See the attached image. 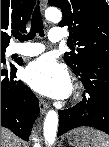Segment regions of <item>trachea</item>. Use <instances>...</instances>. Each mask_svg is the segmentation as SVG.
I'll return each instance as SVG.
<instances>
[{"label": "trachea", "instance_id": "trachea-1", "mask_svg": "<svg viewBox=\"0 0 109 147\" xmlns=\"http://www.w3.org/2000/svg\"><path fill=\"white\" fill-rule=\"evenodd\" d=\"M37 32L41 37H44V26L40 13L39 2L33 11L32 19H31V30L28 33V35L22 36L20 34H16L15 38L19 39L21 42L25 40H32L36 36Z\"/></svg>", "mask_w": 109, "mask_h": 147}]
</instances>
